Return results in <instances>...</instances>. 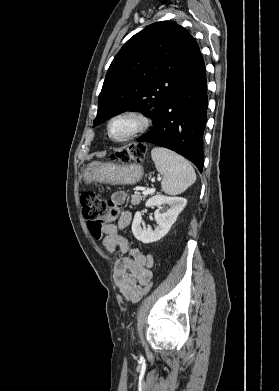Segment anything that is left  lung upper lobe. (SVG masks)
Wrapping results in <instances>:
<instances>
[{"mask_svg": "<svg viewBox=\"0 0 279 391\" xmlns=\"http://www.w3.org/2000/svg\"><path fill=\"white\" fill-rule=\"evenodd\" d=\"M201 57L195 39L177 23L162 21L147 26L113 59L99 94L94 124L124 111L141 112L155 124Z\"/></svg>", "mask_w": 279, "mask_h": 391, "instance_id": "obj_1", "label": "left lung upper lobe"}]
</instances>
